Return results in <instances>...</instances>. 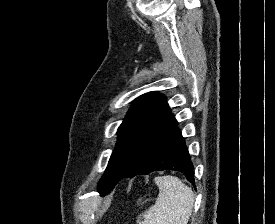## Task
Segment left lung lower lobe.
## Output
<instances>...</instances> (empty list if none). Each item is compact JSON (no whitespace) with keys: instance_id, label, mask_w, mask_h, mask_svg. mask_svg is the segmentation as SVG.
<instances>
[{"instance_id":"1","label":"left lung lower lobe","mask_w":275,"mask_h":224,"mask_svg":"<svg viewBox=\"0 0 275 224\" xmlns=\"http://www.w3.org/2000/svg\"><path fill=\"white\" fill-rule=\"evenodd\" d=\"M167 169L182 172L195 187L193 164L178 123L171 113L146 140L127 172L120 178L110 177L100 183L98 191L104 194L110 192L124 177L132 178Z\"/></svg>"}]
</instances>
